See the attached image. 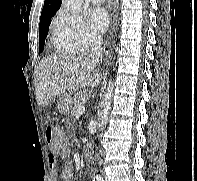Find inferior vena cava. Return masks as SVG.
I'll return each mask as SVG.
<instances>
[{
  "instance_id": "inferior-vena-cava-1",
  "label": "inferior vena cava",
  "mask_w": 197,
  "mask_h": 181,
  "mask_svg": "<svg viewBox=\"0 0 197 181\" xmlns=\"http://www.w3.org/2000/svg\"><path fill=\"white\" fill-rule=\"evenodd\" d=\"M102 37L97 33L92 34L91 59L94 63L102 61Z\"/></svg>"
}]
</instances>
